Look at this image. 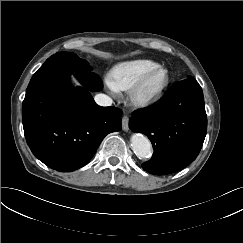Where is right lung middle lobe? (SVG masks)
Returning <instances> with one entry per match:
<instances>
[{
	"label": "right lung middle lobe",
	"mask_w": 243,
	"mask_h": 243,
	"mask_svg": "<svg viewBox=\"0 0 243 243\" xmlns=\"http://www.w3.org/2000/svg\"><path fill=\"white\" fill-rule=\"evenodd\" d=\"M56 68L75 72L90 71L91 69L86 60L80 59L76 54L71 52H58L52 55L46 60L40 70L49 71Z\"/></svg>",
	"instance_id": "1"
}]
</instances>
